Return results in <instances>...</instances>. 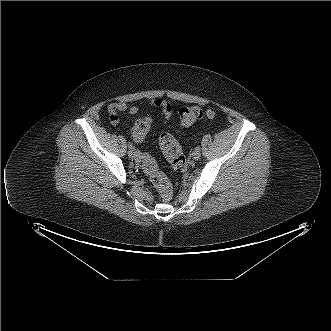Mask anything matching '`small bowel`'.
Returning <instances> with one entry per match:
<instances>
[{"label":"small bowel","instance_id":"obj_1","mask_svg":"<svg viewBox=\"0 0 331 331\" xmlns=\"http://www.w3.org/2000/svg\"><path fill=\"white\" fill-rule=\"evenodd\" d=\"M149 106L160 109L165 118L170 119L174 113L172 104L161 98H152L148 102ZM110 122L113 125H118L120 117L123 113L135 115L138 111L137 107L125 102H112L107 107Z\"/></svg>","mask_w":331,"mask_h":331}]
</instances>
